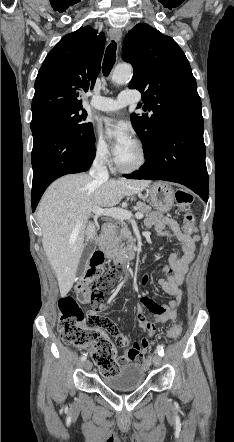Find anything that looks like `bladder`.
<instances>
[{"mask_svg":"<svg viewBox=\"0 0 234 442\" xmlns=\"http://www.w3.org/2000/svg\"><path fill=\"white\" fill-rule=\"evenodd\" d=\"M145 381V370L136 364L121 367L112 377L102 378L104 385L112 390H131L140 387Z\"/></svg>","mask_w":234,"mask_h":442,"instance_id":"bladder-1","label":"bladder"}]
</instances>
